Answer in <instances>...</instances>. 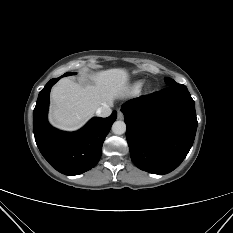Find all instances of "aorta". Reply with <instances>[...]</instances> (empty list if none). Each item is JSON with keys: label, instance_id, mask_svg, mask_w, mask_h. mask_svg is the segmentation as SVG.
<instances>
[{"label": "aorta", "instance_id": "aorta-1", "mask_svg": "<svg viewBox=\"0 0 233 233\" xmlns=\"http://www.w3.org/2000/svg\"><path fill=\"white\" fill-rule=\"evenodd\" d=\"M126 131V124L123 121H115L112 125V132L116 135L124 134Z\"/></svg>", "mask_w": 233, "mask_h": 233}]
</instances>
